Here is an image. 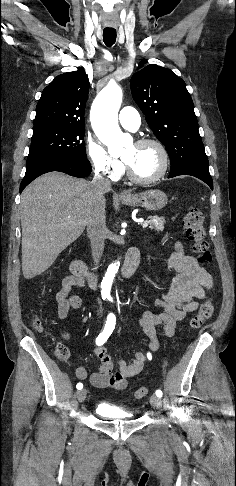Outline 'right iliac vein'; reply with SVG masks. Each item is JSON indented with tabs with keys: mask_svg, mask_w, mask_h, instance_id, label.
Instances as JSON below:
<instances>
[{
	"mask_svg": "<svg viewBox=\"0 0 236 486\" xmlns=\"http://www.w3.org/2000/svg\"><path fill=\"white\" fill-rule=\"evenodd\" d=\"M87 391L85 389H82L77 392V398L79 402H83L86 398Z\"/></svg>",
	"mask_w": 236,
	"mask_h": 486,
	"instance_id": "right-iliac-vein-1",
	"label": "right iliac vein"
}]
</instances>
